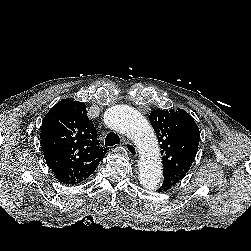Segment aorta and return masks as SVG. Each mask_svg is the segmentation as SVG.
<instances>
[{"label": "aorta", "mask_w": 251, "mask_h": 251, "mask_svg": "<svg viewBox=\"0 0 251 251\" xmlns=\"http://www.w3.org/2000/svg\"><path fill=\"white\" fill-rule=\"evenodd\" d=\"M105 124L129 136L137 144L141 153L140 183L149 190H155L162 181V166L156 136L146 118L137 110L116 105L104 113Z\"/></svg>", "instance_id": "1"}]
</instances>
